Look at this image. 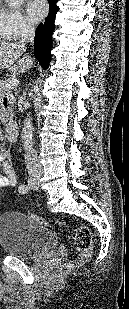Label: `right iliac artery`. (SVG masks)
I'll use <instances>...</instances> for the list:
<instances>
[{"label": "right iliac artery", "mask_w": 129, "mask_h": 309, "mask_svg": "<svg viewBox=\"0 0 129 309\" xmlns=\"http://www.w3.org/2000/svg\"><path fill=\"white\" fill-rule=\"evenodd\" d=\"M28 190H29V187H28L27 185H25V184L19 186V192H20L21 194L27 193Z\"/></svg>", "instance_id": "82829eb1"}]
</instances>
